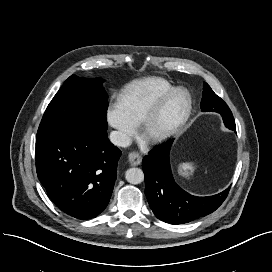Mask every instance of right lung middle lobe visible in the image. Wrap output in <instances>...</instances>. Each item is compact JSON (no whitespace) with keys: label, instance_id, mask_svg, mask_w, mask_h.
<instances>
[{"label":"right lung middle lobe","instance_id":"right-lung-middle-lobe-1","mask_svg":"<svg viewBox=\"0 0 272 272\" xmlns=\"http://www.w3.org/2000/svg\"><path fill=\"white\" fill-rule=\"evenodd\" d=\"M102 83L101 78L70 76L49 103L38 133L60 132L74 127L96 132L107 130L108 96Z\"/></svg>","mask_w":272,"mask_h":272}]
</instances>
